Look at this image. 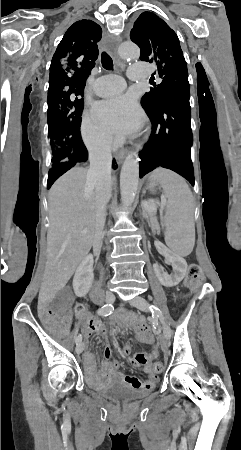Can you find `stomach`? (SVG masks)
Masks as SVG:
<instances>
[{
    "mask_svg": "<svg viewBox=\"0 0 241 450\" xmlns=\"http://www.w3.org/2000/svg\"><path fill=\"white\" fill-rule=\"evenodd\" d=\"M157 185V183L156 182H151L150 183V186H149V189L151 190V191H153L154 190V187Z\"/></svg>",
    "mask_w": 241,
    "mask_h": 450,
    "instance_id": "stomach-1",
    "label": "stomach"
}]
</instances>
